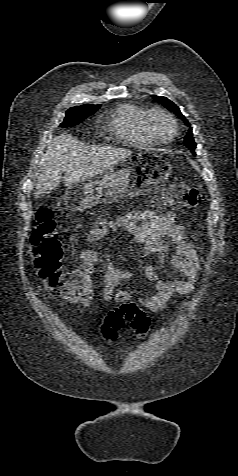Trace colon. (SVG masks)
Instances as JSON below:
<instances>
[{
    "instance_id": "5ec220e1",
    "label": "colon",
    "mask_w": 238,
    "mask_h": 476,
    "mask_svg": "<svg viewBox=\"0 0 238 476\" xmlns=\"http://www.w3.org/2000/svg\"><path fill=\"white\" fill-rule=\"evenodd\" d=\"M202 202L200 191L183 178H176L165 194L156 201L158 208L175 206L195 208ZM31 249L34 267L46 286L53 291H69L80 287L83 276L77 271H67L63 267L64 251L53 213L48 208H39L31 233ZM128 323L137 335H145L149 318L133 303H125L111 311L106 318L104 333L114 339L117 330Z\"/></svg>"
}]
</instances>
